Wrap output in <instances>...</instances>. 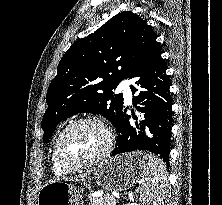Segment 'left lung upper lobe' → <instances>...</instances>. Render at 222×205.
<instances>
[{
	"label": "left lung upper lobe",
	"instance_id": "5c2ea615",
	"mask_svg": "<svg viewBox=\"0 0 222 205\" xmlns=\"http://www.w3.org/2000/svg\"><path fill=\"white\" fill-rule=\"evenodd\" d=\"M152 33L144 19L124 11L75 41L47 91L43 141L49 140L61 121L81 112L101 114L115 125L123 110V96L113 95L112 90L127 78Z\"/></svg>",
	"mask_w": 222,
	"mask_h": 205
}]
</instances>
